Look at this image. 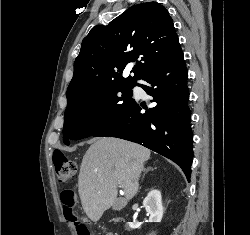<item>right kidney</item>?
<instances>
[{
	"label": "right kidney",
	"instance_id": "ca27d5eb",
	"mask_svg": "<svg viewBox=\"0 0 250 235\" xmlns=\"http://www.w3.org/2000/svg\"><path fill=\"white\" fill-rule=\"evenodd\" d=\"M143 206L149 214V222H161L163 217V205L161 192L159 190H151L143 200ZM141 223L129 222V227L132 229L139 228Z\"/></svg>",
	"mask_w": 250,
	"mask_h": 235
}]
</instances>
